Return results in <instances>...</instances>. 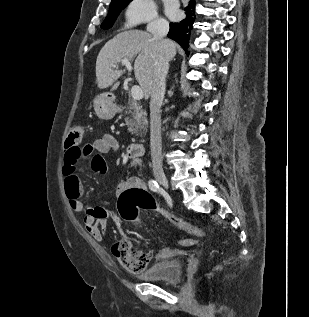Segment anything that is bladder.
I'll use <instances>...</instances> for the list:
<instances>
[{
    "instance_id": "1",
    "label": "bladder",
    "mask_w": 309,
    "mask_h": 317,
    "mask_svg": "<svg viewBox=\"0 0 309 317\" xmlns=\"http://www.w3.org/2000/svg\"><path fill=\"white\" fill-rule=\"evenodd\" d=\"M183 275V264L179 259L171 258L159 260L149 266L139 279L147 282H163L166 284H177Z\"/></svg>"
}]
</instances>
